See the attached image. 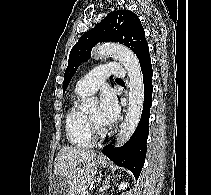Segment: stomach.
Listing matches in <instances>:
<instances>
[{"label": "stomach", "mask_w": 211, "mask_h": 195, "mask_svg": "<svg viewBox=\"0 0 211 195\" xmlns=\"http://www.w3.org/2000/svg\"><path fill=\"white\" fill-rule=\"evenodd\" d=\"M96 164L97 165H100V166H103V167H106L108 165V162L104 159V158H97L96 160ZM54 185H58V186H62V187H66L67 186V183L64 179H62L61 177L59 176H56V180L54 181ZM56 193H58L57 195H60L59 192L57 191Z\"/></svg>", "instance_id": "obj_1"}]
</instances>
